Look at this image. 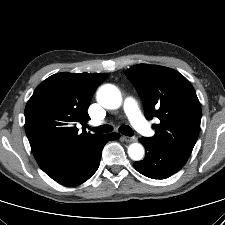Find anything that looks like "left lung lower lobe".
I'll return each mask as SVG.
<instances>
[{"instance_id":"1","label":"left lung lower lobe","mask_w":225,"mask_h":225,"mask_svg":"<svg viewBox=\"0 0 225 225\" xmlns=\"http://www.w3.org/2000/svg\"><path fill=\"white\" fill-rule=\"evenodd\" d=\"M146 149L145 158L134 163L137 171L152 179H165L178 172L186 163L185 158L176 152L157 145L145 137L139 139Z\"/></svg>"}]
</instances>
